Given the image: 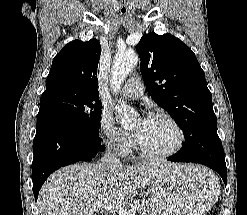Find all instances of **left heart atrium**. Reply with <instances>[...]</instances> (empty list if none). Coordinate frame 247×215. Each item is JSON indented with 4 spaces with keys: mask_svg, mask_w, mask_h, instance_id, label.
<instances>
[{
    "mask_svg": "<svg viewBox=\"0 0 247 215\" xmlns=\"http://www.w3.org/2000/svg\"><path fill=\"white\" fill-rule=\"evenodd\" d=\"M150 121V118H143L141 121H140V126L141 127H145Z\"/></svg>",
    "mask_w": 247,
    "mask_h": 215,
    "instance_id": "obj_1",
    "label": "left heart atrium"
}]
</instances>
